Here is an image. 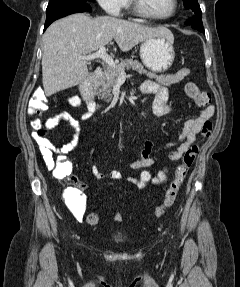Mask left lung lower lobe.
<instances>
[{
  "label": "left lung lower lobe",
  "mask_w": 240,
  "mask_h": 287,
  "mask_svg": "<svg viewBox=\"0 0 240 287\" xmlns=\"http://www.w3.org/2000/svg\"><path fill=\"white\" fill-rule=\"evenodd\" d=\"M194 13L196 14V16L194 18L189 19L186 24L191 25L192 28L199 30L200 32L204 33V28H203V24L201 21V15L202 12L201 10L198 11H194Z\"/></svg>",
  "instance_id": "obj_1"
}]
</instances>
